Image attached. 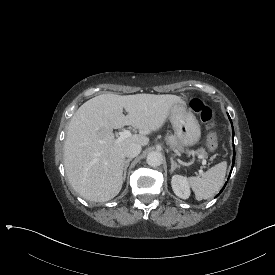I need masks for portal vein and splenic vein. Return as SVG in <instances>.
Listing matches in <instances>:
<instances>
[{"mask_svg": "<svg viewBox=\"0 0 275 275\" xmlns=\"http://www.w3.org/2000/svg\"><path fill=\"white\" fill-rule=\"evenodd\" d=\"M131 137H133V132L130 130H125L123 132H120V136L117 139H115L114 144H118L121 141L125 140L126 138H131ZM198 158H201V157H198ZM202 165L203 166L206 165V161H203Z\"/></svg>", "mask_w": 275, "mask_h": 275, "instance_id": "portal-vein-and-splenic-vein-1", "label": "portal vein and splenic vein"}]
</instances>
